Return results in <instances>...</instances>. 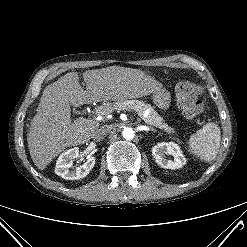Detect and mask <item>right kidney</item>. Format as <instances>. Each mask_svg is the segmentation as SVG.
<instances>
[{
	"label": "right kidney",
	"mask_w": 247,
	"mask_h": 247,
	"mask_svg": "<svg viewBox=\"0 0 247 247\" xmlns=\"http://www.w3.org/2000/svg\"><path fill=\"white\" fill-rule=\"evenodd\" d=\"M79 157L78 147H74L62 153L55 166V173L66 180H77L86 177L95 165V157H88V160L75 170L73 167V159Z\"/></svg>",
	"instance_id": "1"
}]
</instances>
